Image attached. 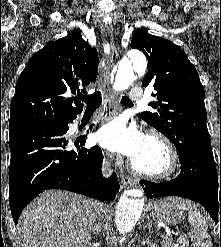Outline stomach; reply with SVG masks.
Wrapping results in <instances>:
<instances>
[{
  "instance_id": "obj_1",
  "label": "stomach",
  "mask_w": 221,
  "mask_h": 247,
  "mask_svg": "<svg viewBox=\"0 0 221 247\" xmlns=\"http://www.w3.org/2000/svg\"><path fill=\"white\" fill-rule=\"evenodd\" d=\"M184 203L185 200L177 197L157 200L150 206V215L153 219L160 222H164L168 225H176L185 217Z\"/></svg>"
}]
</instances>
